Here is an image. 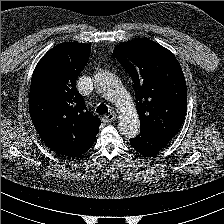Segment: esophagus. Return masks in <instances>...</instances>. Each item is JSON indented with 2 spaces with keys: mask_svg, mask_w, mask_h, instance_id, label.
Instances as JSON below:
<instances>
[{
  "mask_svg": "<svg viewBox=\"0 0 224 224\" xmlns=\"http://www.w3.org/2000/svg\"><path fill=\"white\" fill-rule=\"evenodd\" d=\"M116 119H117V115L114 113L106 114L102 118L103 122H105V123H110Z\"/></svg>",
  "mask_w": 224,
  "mask_h": 224,
  "instance_id": "34e87169",
  "label": "esophagus"
}]
</instances>
